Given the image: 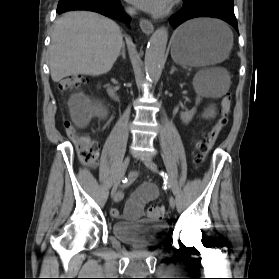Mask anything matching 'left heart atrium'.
I'll return each instance as SVG.
<instances>
[{
  "mask_svg": "<svg viewBox=\"0 0 279 279\" xmlns=\"http://www.w3.org/2000/svg\"><path fill=\"white\" fill-rule=\"evenodd\" d=\"M142 10L151 13H162L171 5L172 0H128Z\"/></svg>",
  "mask_w": 279,
  "mask_h": 279,
  "instance_id": "obj_1",
  "label": "left heart atrium"
}]
</instances>
